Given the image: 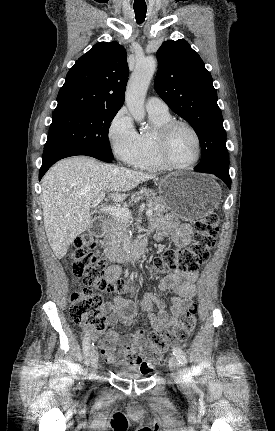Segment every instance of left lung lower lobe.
Listing matches in <instances>:
<instances>
[{
    "mask_svg": "<svg viewBox=\"0 0 275 431\" xmlns=\"http://www.w3.org/2000/svg\"><path fill=\"white\" fill-rule=\"evenodd\" d=\"M194 170H196V169H194ZM196 171L214 174L217 177H219L220 179H222V181L228 186V188L231 187V179H230L229 172L212 171V170H207V169L196 170Z\"/></svg>",
    "mask_w": 275,
    "mask_h": 431,
    "instance_id": "1",
    "label": "left lung lower lobe"
}]
</instances>
